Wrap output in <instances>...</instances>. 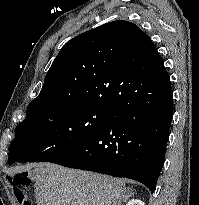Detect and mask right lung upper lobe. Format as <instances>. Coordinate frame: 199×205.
Here are the masks:
<instances>
[{
    "label": "right lung upper lobe",
    "mask_w": 199,
    "mask_h": 205,
    "mask_svg": "<svg viewBox=\"0 0 199 205\" xmlns=\"http://www.w3.org/2000/svg\"><path fill=\"white\" fill-rule=\"evenodd\" d=\"M166 69L137 25L117 20L68 41L28 108L79 104L114 110L156 88Z\"/></svg>",
    "instance_id": "1"
}]
</instances>
